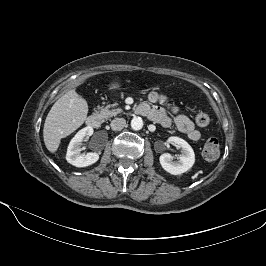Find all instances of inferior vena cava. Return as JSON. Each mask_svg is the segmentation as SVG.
<instances>
[{"label":"inferior vena cava","mask_w":266,"mask_h":266,"mask_svg":"<svg viewBox=\"0 0 266 266\" xmlns=\"http://www.w3.org/2000/svg\"><path fill=\"white\" fill-rule=\"evenodd\" d=\"M111 128L114 131L122 130L126 125V120L124 118H115L111 121Z\"/></svg>","instance_id":"602c4592"}]
</instances>
